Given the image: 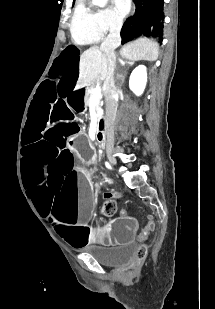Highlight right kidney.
<instances>
[{
  "instance_id": "obj_1",
  "label": "right kidney",
  "mask_w": 215,
  "mask_h": 309,
  "mask_svg": "<svg viewBox=\"0 0 215 309\" xmlns=\"http://www.w3.org/2000/svg\"><path fill=\"white\" fill-rule=\"evenodd\" d=\"M147 82V68L144 64H139L132 70L129 78V88L140 96L142 94Z\"/></svg>"
}]
</instances>
